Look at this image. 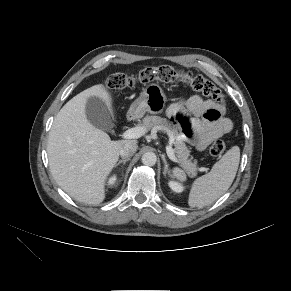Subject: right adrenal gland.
<instances>
[{"label":"right adrenal gland","instance_id":"right-adrenal-gland-1","mask_svg":"<svg viewBox=\"0 0 291 291\" xmlns=\"http://www.w3.org/2000/svg\"><path fill=\"white\" fill-rule=\"evenodd\" d=\"M130 158H123L122 160H119V162L115 165V167H117L118 165H120L121 163L125 164L127 161H129Z\"/></svg>","mask_w":291,"mask_h":291}]
</instances>
